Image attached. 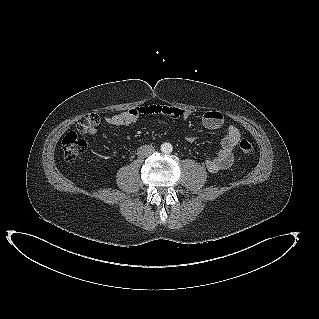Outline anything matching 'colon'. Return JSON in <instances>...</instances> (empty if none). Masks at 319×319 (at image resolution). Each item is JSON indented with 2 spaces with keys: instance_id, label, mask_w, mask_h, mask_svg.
<instances>
[{
  "instance_id": "5ec220e1",
  "label": "colon",
  "mask_w": 319,
  "mask_h": 319,
  "mask_svg": "<svg viewBox=\"0 0 319 319\" xmlns=\"http://www.w3.org/2000/svg\"><path fill=\"white\" fill-rule=\"evenodd\" d=\"M92 120V114L85 115L78 121V124H85ZM239 146L241 151L246 155H251L254 151L253 144L246 139L241 140ZM62 149L64 158L67 161H74L85 152L86 142L79 138L75 132H68L62 140Z\"/></svg>"
}]
</instances>
